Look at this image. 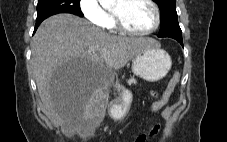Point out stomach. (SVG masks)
Instances as JSON below:
<instances>
[{
	"instance_id": "obj_1",
	"label": "stomach",
	"mask_w": 227,
	"mask_h": 142,
	"mask_svg": "<svg viewBox=\"0 0 227 142\" xmlns=\"http://www.w3.org/2000/svg\"><path fill=\"white\" fill-rule=\"evenodd\" d=\"M172 62L169 54L160 48V45H152L132 58V71L134 75L148 81L156 82L167 75ZM132 101V94L124 89L115 102L110 106V115L116 120L123 119Z\"/></svg>"
}]
</instances>
